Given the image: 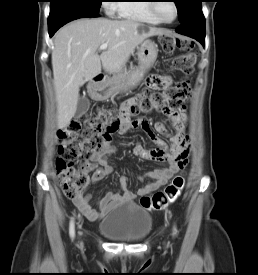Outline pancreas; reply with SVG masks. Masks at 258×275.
Segmentation results:
<instances>
[{"label":"pancreas","instance_id":"1","mask_svg":"<svg viewBox=\"0 0 258 275\" xmlns=\"http://www.w3.org/2000/svg\"><path fill=\"white\" fill-rule=\"evenodd\" d=\"M132 69L133 67H130V70L127 71L126 68L122 69L121 71H119L116 75H114L113 79H118V78H122V77H127L132 73Z\"/></svg>","mask_w":258,"mask_h":275}]
</instances>
